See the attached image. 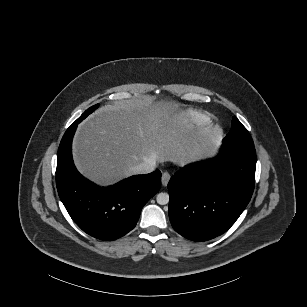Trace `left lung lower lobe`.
Returning a JSON list of instances; mask_svg holds the SVG:
<instances>
[{
	"mask_svg": "<svg viewBox=\"0 0 307 307\" xmlns=\"http://www.w3.org/2000/svg\"><path fill=\"white\" fill-rule=\"evenodd\" d=\"M255 169L254 144L223 142L217 157L177 171L168 183L175 231L193 241L226 232L251 199Z\"/></svg>",
	"mask_w": 307,
	"mask_h": 307,
	"instance_id": "left-lung-lower-lobe-1",
	"label": "left lung lower lobe"
}]
</instances>
